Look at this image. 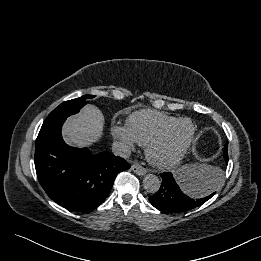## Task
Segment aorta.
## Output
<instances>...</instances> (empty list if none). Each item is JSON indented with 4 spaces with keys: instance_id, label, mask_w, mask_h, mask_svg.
<instances>
[{
    "instance_id": "aorta-1",
    "label": "aorta",
    "mask_w": 261,
    "mask_h": 261,
    "mask_svg": "<svg viewBox=\"0 0 261 261\" xmlns=\"http://www.w3.org/2000/svg\"><path fill=\"white\" fill-rule=\"evenodd\" d=\"M161 181L158 176L154 174H148L143 179V187L149 193H157L160 189Z\"/></svg>"
}]
</instances>
